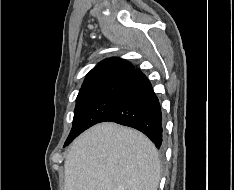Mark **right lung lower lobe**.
<instances>
[{
  "label": "right lung lower lobe",
  "mask_w": 234,
  "mask_h": 190,
  "mask_svg": "<svg viewBox=\"0 0 234 190\" xmlns=\"http://www.w3.org/2000/svg\"><path fill=\"white\" fill-rule=\"evenodd\" d=\"M106 121L135 128L144 133L157 148L162 147L163 121L160 103L151 83L139 69H134L126 77L116 101L100 120ZM71 141L66 142L65 146Z\"/></svg>",
  "instance_id": "1"
}]
</instances>
